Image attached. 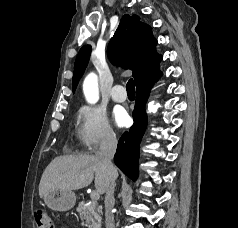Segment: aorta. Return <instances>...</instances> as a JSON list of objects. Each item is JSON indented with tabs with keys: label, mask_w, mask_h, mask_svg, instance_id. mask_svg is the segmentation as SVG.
I'll use <instances>...</instances> for the list:
<instances>
[{
	"label": "aorta",
	"mask_w": 238,
	"mask_h": 228,
	"mask_svg": "<svg viewBox=\"0 0 238 228\" xmlns=\"http://www.w3.org/2000/svg\"><path fill=\"white\" fill-rule=\"evenodd\" d=\"M83 92L86 97V100L94 104L99 99V89L97 76L94 73H90L84 80L83 83Z\"/></svg>",
	"instance_id": "1"
}]
</instances>
